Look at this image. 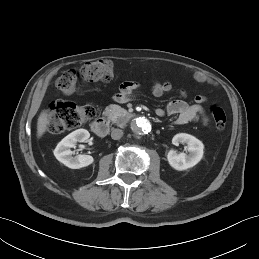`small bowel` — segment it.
<instances>
[{"instance_id":"obj_1","label":"small bowel","mask_w":259,"mask_h":259,"mask_svg":"<svg viewBox=\"0 0 259 259\" xmlns=\"http://www.w3.org/2000/svg\"><path fill=\"white\" fill-rule=\"evenodd\" d=\"M190 73L193 79L197 82L214 84V81L210 77L200 71H191ZM138 88V83L134 81H124L120 85L118 92L114 94L113 99L117 103H125L133 97ZM171 89L172 85L169 82H156L152 86V94L156 97H161L170 92ZM180 94L182 97H185V90H180ZM204 101L205 97L201 95L195 97L194 103H188L184 99H175L168 103L166 112L170 115L177 116V124L195 122L200 118H202L203 121H206L204 109L202 107V103ZM155 114L157 116H163L165 114V110L157 108L155 110Z\"/></svg>"}]
</instances>
